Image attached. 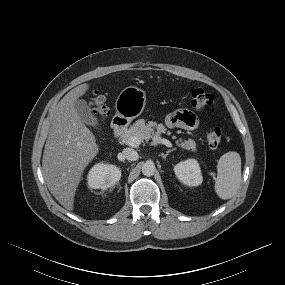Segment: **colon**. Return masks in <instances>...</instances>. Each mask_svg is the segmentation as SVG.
Here are the masks:
<instances>
[{"mask_svg": "<svg viewBox=\"0 0 285 285\" xmlns=\"http://www.w3.org/2000/svg\"><path fill=\"white\" fill-rule=\"evenodd\" d=\"M190 102L194 109L201 110L211 106L214 103V97L210 92L202 88H195L190 93ZM91 105L93 112L97 116L104 118L108 114V109L105 105V98L101 93H93ZM222 137L223 131L219 127L211 128L207 132V142L212 148H216L221 143Z\"/></svg>", "mask_w": 285, "mask_h": 285, "instance_id": "5ec220e1", "label": "colon"}]
</instances>
